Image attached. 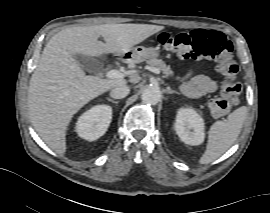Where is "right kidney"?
I'll return each mask as SVG.
<instances>
[{"label":"right kidney","mask_w":270,"mask_h":213,"mask_svg":"<svg viewBox=\"0 0 270 213\" xmlns=\"http://www.w3.org/2000/svg\"><path fill=\"white\" fill-rule=\"evenodd\" d=\"M112 119V107L97 105L83 113L77 123L76 132L81 138L94 141L107 131Z\"/></svg>","instance_id":"obj_1"}]
</instances>
